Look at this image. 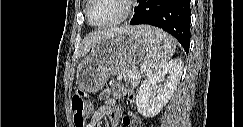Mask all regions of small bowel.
<instances>
[{"label": "small bowel", "mask_w": 243, "mask_h": 127, "mask_svg": "<svg viewBox=\"0 0 243 127\" xmlns=\"http://www.w3.org/2000/svg\"><path fill=\"white\" fill-rule=\"evenodd\" d=\"M122 116V108L114 99H106L105 102L92 114L86 127H96L103 119H107L109 126L118 127Z\"/></svg>", "instance_id": "obj_1"}]
</instances>
